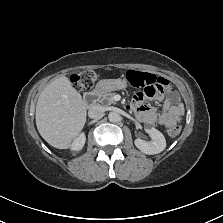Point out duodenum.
I'll list each match as a JSON object with an SVG mask.
<instances>
[{"label":"duodenum","instance_id":"410a0bca","mask_svg":"<svg viewBox=\"0 0 223 223\" xmlns=\"http://www.w3.org/2000/svg\"><path fill=\"white\" fill-rule=\"evenodd\" d=\"M102 93V85L98 84L93 90L84 94V103L88 106L94 105L100 94Z\"/></svg>","mask_w":223,"mask_h":223}]
</instances>
